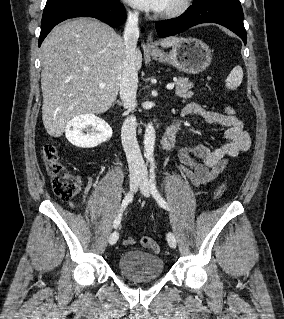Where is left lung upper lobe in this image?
<instances>
[{"label": "left lung upper lobe", "mask_w": 284, "mask_h": 319, "mask_svg": "<svg viewBox=\"0 0 284 319\" xmlns=\"http://www.w3.org/2000/svg\"><path fill=\"white\" fill-rule=\"evenodd\" d=\"M195 2H198V1H202V0H194Z\"/></svg>", "instance_id": "5c2ea615"}]
</instances>
